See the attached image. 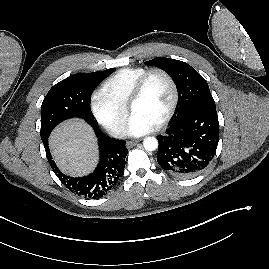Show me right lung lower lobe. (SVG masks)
<instances>
[{"instance_id":"98d812e1","label":"right lung lower lobe","mask_w":269,"mask_h":269,"mask_svg":"<svg viewBox=\"0 0 269 269\" xmlns=\"http://www.w3.org/2000/svg\"><path fill=\"white\" fill-rule=\"evenodd\" d=\"M91 126L98 138L100 161L94 172L88 176L74 178L60 172L52 160L48 139L43 141V144L51 167L70 191L85 198L99 199L114 188L122 177L128 150L125 147V141L109 138L97 128V125Z\"/></svg>"}]
</instances>
